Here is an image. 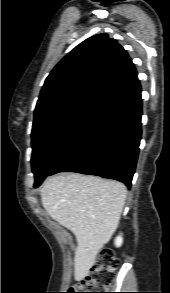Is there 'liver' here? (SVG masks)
Wrapping results in <instances>:
<instances>
[{
	"label": "liver",
	"mask_w": 170,
	"mask_h": 293,
	"mask_svg": "<svg viewBox=\"0 0 170 293\" xmlns=\"http://www.w3.org/2000/svg\"><path fill=\"white\" fill-rule=\"evenodd\" d=\"M127 196L124 184L81 174L48 178L41 201L48 215L76 237L74 278L84 279L115 232Z\"/></svg>",
	"instance_id": "obj_1"
}]
</instances>
